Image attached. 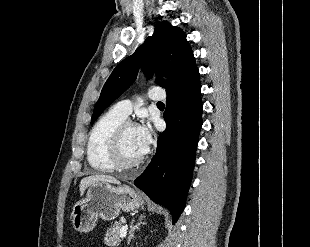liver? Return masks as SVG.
<instances>
[{"mask_svg":"<svg viewBox=\"0 0 310 247\" xmlns=\"http://www.w3.org/2000/svg\"><path fill=\"white\" fill-rule=\"evenodd\" d=\"M98 182L119 184V181L115 177L110 175L96 174L92 176H87L80 181V194L82 195L90 185Z\"/></svg>","mask_w":310,"mask_h":247,"instance_id":"6515ba94","label":"liver"}]
</instances>
